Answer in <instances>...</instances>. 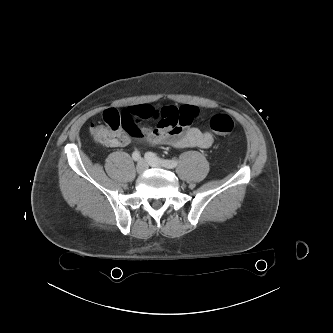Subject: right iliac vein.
I'll return each mask as SVG.
<instances>
[{
  "instance_id": "63e3f726",
  "label": "right iliac vein",
  "mask_w": 333,
  "mask_h": 333,
  "mask_svg": "<svg viewBox=\"0 0 333 333\" xmlns=\"http://www.w3.org/2000/svg\"><path fill=\"white\" fill-rule=\"evenodd\" d=\"M147 168V163L145 160H141L137 163L136 170L138 174L143 173Z\"/></svg>"
}]
</instances>
